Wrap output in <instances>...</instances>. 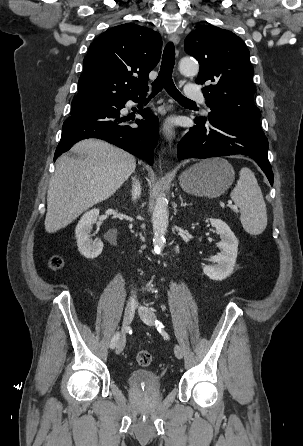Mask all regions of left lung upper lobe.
<instances>
[{"label":"left lung upper lobe","mask_w":303,"mask_h":446,"mask_svg":"<svg viewBox=\"0 0 303 446\" xmlns=\"http://www.w3.org/2000/svg\"><path fill=\"white\" fill-rule=\"evenodd\" d=\"M185 51L200 63L197 84L208 82L202 91L211 115L264 134L260 110L253 102V67L243 40L228 30L206 25L185 39ZM206 121L205 118L199 117Z\"/></svg>","instance_id":"1"}]
</instances>
